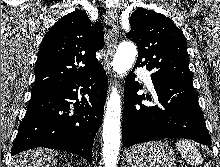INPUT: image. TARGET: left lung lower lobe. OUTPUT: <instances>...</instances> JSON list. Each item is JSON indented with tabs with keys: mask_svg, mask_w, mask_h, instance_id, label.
Segmentation results:
<instances>
[{
	"mask_svg": "<svg viewBox=\"0 0 220 167\" xmlns=\"http://www.w3.org/2000/svg\"><path fill=\"white\" fill-rule=\"evenodd\" d=\"M152 79L158 105L148 107L130 72L125 80L122 139L125 147L163 138H186L212 149L193 84ZM147 99L151 100L150 97Z\"/></svg>",
	"mask_w": 220,
	"mask_h": 167,
	"instance_id": "left-lung-lower-lobe-1",
	"label": "left lung lower lobe"
}]
</instances>
